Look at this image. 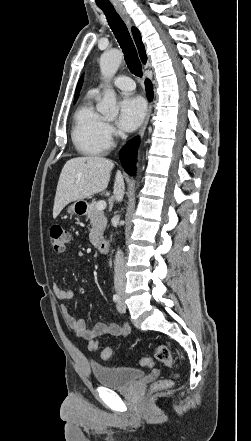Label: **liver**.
Wrapping results in <instances>:
<instances>
[{
    "mask_svg": "<svg viewBox=\"0 0 251 441\" xmlns=\"http://www.w3.org/2000/svg\"><path fill=\"white\" fill-rule=\"evenodd\" d=\"M114 163L100 156L76 157L68 160L62 168L53 207V218L73 201L83 200L104 191L110 180ZM124 180L118 170L114 183V196L120 201L124 195Z\"/></svg>",
    "mask_w": 251,
    "mask_h": 441,
    "instance_id": "6515ba94",
    "label": "liver"
}]
</instances>
